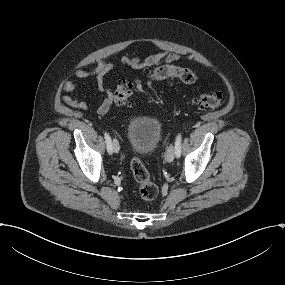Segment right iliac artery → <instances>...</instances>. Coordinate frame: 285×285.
I'll return each instance as SVG.
<instances>
[{
	"instance_id": "1",
	"label": "right iliac artery",
	"mask_w": 285,
	"mask_h": 285,
	"mask_svg": "<svg viewBox=\"0 0 285 285\" xmlns=\"http://www.w3.org/2000/svg\"><path fill=\"white\" fill-rule=\"evenodd\" d=\"M104 138L107 145V151L111 154L112 153L111 137L107 132H104Z\"/></svg>"
}]
</instances>
